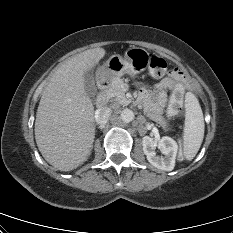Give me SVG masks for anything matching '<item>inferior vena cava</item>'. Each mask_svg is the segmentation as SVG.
<instances>
[{
    "label": "inferior vena cava",
    "mask_w": 233,
    "mask_h": 233,
    "mask_svg": "<svg viewBox=\"0 0 233 233\" xmlns=\"http://www.w3.org/2000/svg\"><path fill=\"white\" fill-rule=\"evenodd\" d=\"M112 110L108 107H102L96 110L95 120L97 124L104 125L106 124L111 117Z\"/></svg>",
    "instance_id": "obj_1"
}]
</instances>
